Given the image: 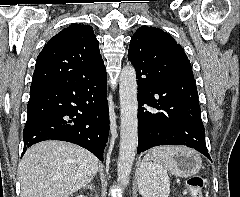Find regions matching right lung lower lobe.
Returning <instances> with one entry per match:
<instances>
[{
    "instance_id": "obj_1",
    "label": "right lung lower lobe",
    "mask_w": 240,
    "mask_h": 197,
    "mask_svg": "<svg viewBox=\"0 0 240 197\" xmlns=\"http://www.w3.org/2000/svg\"><path fill=\"white\" fill-rule=\"evenodd\" d=\"M107 74L79 81L57 80L30 88L24 149L44 140L78 144L103 161L109 133Z\"/></svg>"
}]
</instances>
